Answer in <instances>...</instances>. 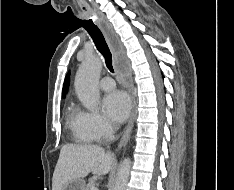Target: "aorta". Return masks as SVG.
Segmentation results:
<instances>
[{
    "instance_id": "obj_1",
    "label": "aorta",
    "mask_w": 234,
    "mask_h": 190,
    "mask_svg": "<svg viewBox=\"0 0 234 190\" xmlns=\"http://www.w3.org/2000/svg\"><path fill=\"white\" fill-rule=\"evenodd\" d=\"M102 61L96 55H89L80 65L75 77V89L82 104L95 110L100 102L98 88ZM131 160L125 158L119 168L112 190H125L130 176Z\"/></svg>"
}]
</instances>
